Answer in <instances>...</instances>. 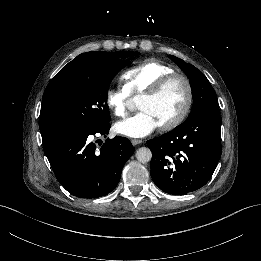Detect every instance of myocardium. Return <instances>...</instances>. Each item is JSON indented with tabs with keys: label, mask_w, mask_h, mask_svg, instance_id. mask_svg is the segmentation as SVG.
Returning a JSON list of instances; mask_svg holds the SVG:
<instances>
[{
	"label": "myocardium",
	"mask_w": 261,
	"mask_h": 261,
	"mask_svg": "<svg viewBox=\"0 0 261 261\" xmlns=\"http://www.w3.org/2000/svg\"><path fill=\"white\" fill-rule=\"evenodd\" d=\"M177 80H181L185 85L186 100L181 111L173 119L159 126L160 129L164 131L177 127L189 114L194 98L193 87L190 79L182 73L172 72L164 75L157 83L153 85L148 93L142 95L141 97V99H154L158 97L171 83Z\"/></svg>",
	"instance_id": "myocardium-1"
}]
</instances>
